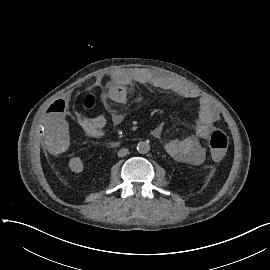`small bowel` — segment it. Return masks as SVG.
<instances>
[{
    "mask_svg": "<svg viewBox=\"0 0 270 270\" xmlns=\"http://www.w3.org/2000/svg\"><path fill=\"white\" fill-rule=\"evenodd\" d=\"M104 78H99L93 89L101 87ZM109 89L102 96V102L108 109L111 123L118 126L123 122L120 110L127 103L128 87L132 83L149 85L156 89L175 92L187 99H197L198 93L159 71L148 68H129L115 72L108 77ZM73 108L72 99L65 94H57L45 107L46 126L50 142L46 145V154L51 159H60L65 154V146L69 142L67 133L66 114ZM218 119L217 113L206 98H199V117L194 134L184 138H175L167 142L166 151L173 157L186 161L192 165H201L206 157L200 140L206 138L212 131ZM78 122L90 137L101 138L108 129L106 119L99 113L90 117H80ZM163 125L154 128L152 135L160 139L163 134Z\"/></svg>",
    "mask_w": 270,
    "mask_h": 270,
    "instance_id": "obj_1",
    "label": "small bowel"
}]
</instances>
